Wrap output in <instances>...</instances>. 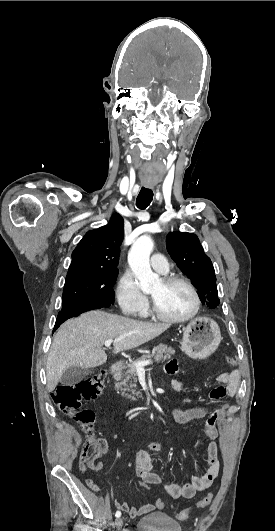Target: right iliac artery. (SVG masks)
Listing matches in <instances>:
<instances>
[{"label":"right iliac artery","instance_id":"1","mask_svg":"<svg viewBox=\"0 0 275 531\" xmlns=\"http://www.w3.org/2000/svg\"><path fill=\"white\" fill-rule=\"evenodd\" d=\"M115 516H116L117 518H119V517L121 516V512H120V511H117L116 514H115Z\"/></svg>","mask_w":275,"mask_h":531}]
</instances>
